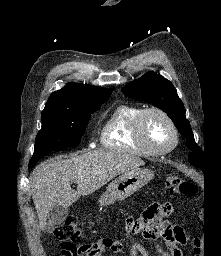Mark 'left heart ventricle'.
<instances>
[{"mask_svg":"<svg viewBox=\"0 0 221 256\" xmlns=\"http://www.w3.org/2000/svg\"><path fill=\"white\" fill-rule=\"evenodd\" d=\"M144 135L155 148L163 149L173 142V133L166 120L158 114H149L144 122Z\"/></svg>","mask_w":221,"mask_h":256,"instance_id":"obj_1","label":"left heart ventricle"}]
</instances>
